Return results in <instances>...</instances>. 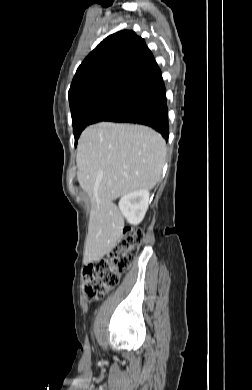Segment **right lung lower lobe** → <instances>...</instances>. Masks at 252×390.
<instances>
[{"label":"right lung lower lobe","mask_w":252,"mask_h":390,"mask_svg":"<svg viewBox=\"0 0 252 390\" xmlns=\"http://www.w3.org/2000/svg\"><path fill=\"white\" fill-rule=\"evenodd\" d=\"M168 109L164 82L135 99L128 107L105 121L136 123L149 126L168 140Z\"/></svg>","instance_id":"right-lung-lower-lobe-1"}]
</instances>
